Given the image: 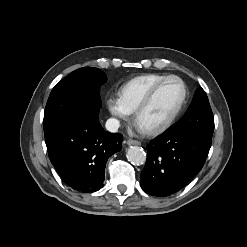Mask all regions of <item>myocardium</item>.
Segmentation results:
<instances>
[{
    "instance_id": "1",
    "label": "myocardium",
    "mask_w": 247,
    "mask_h": 247,
    "mask_svg": "<svg viewBox=\"0 0 247 247\" xmlns=\"http://www.w3.org/2000/svg\"><path fill=\"white\" fill-rule=\"evenodd\" d=\"M170 80H178L182 86H183V97L178 105V107L176 108V110L172 113V115L165 120L163 123L148 129V130H144L148 135H158L163 133L164 131H166L167 129H169L173 123L176 121V119L179 117V115L181 114L187 98H188V87L187 84L185 83V81L180 78L179 76L176 75H169L167 77H165L164 79H162L161 81H159L158 83H156L151 89L150 91L147 93V95L144 97V99L141 101V103L138 105V107L136 108L135 112H134V121L137 125L138 124V120L139 117L141 116V114L149 107V105L151 104V102L153 101L155 95L157 94V92L159 91V89L168 81Z\"/></svg>"
}]
</instances>
